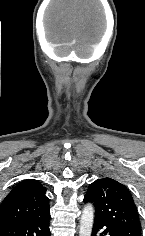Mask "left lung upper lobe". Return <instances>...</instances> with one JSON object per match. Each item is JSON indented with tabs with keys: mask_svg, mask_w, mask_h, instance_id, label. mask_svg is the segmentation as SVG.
Instances as JSON below:
<instances>
[{
	"mask_svg": "<svg viewBox=\"0 0 145 236\" xmlns=\"http://www.w3.org/2000/svg\"><path fill=\"white\" fill-rule=\"evenodd\" d=\"M84 202L95 207V218L103 221L117 236H141V223L129 190L112 178L90 184Z\"/></svg>",
	"mask_w": 145,
	"mask_h": 236,
	"instance_id": "left-lung-upper-lobe-1",
	"label": "left lung upper lobe"
}]
</instances>
